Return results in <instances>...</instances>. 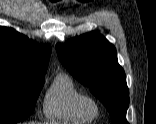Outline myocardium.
<instances>
[{
    "label": "myocardium",
    "mask_w": 156,
    "mask_h": 124,
    "mask_svg": "<svg viewBox=\"0 0 156 124\" xmlns=\"http://www.w3.org/2000/svg\"><path fill=\"white\" fill-rule=\"evenodd\" d=\"M79 106L82 112L88 116H98L101 110L98 99L90 95H83L79 101Z\"/></svg>",
    "instance_id": "f54148a6"
}]
</instances>
